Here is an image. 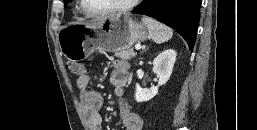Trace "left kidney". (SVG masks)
Returning a JSON list of instances; mask_svg holds the SVG:
<instances>
[{
    "label": "left kidney",
    "instance_id": "left-kidney-1",
    "mask_svg": "<svg viewBox=\"0 0 257 130\" xmlns=\"http://www.w3.org/2000/svg\"><path fill=\"white\" fill-rule=\"evenodd\" d=\"M176 55L175 50L167 49L154 59L153 72L159 79L158 84L146 89H142L139 84H136L135 100L137 102L149 101L157 95L159 86L164 85L172 74Z\"/></svg>",
    "mask_w": 257,
    "mask_h": 130
}]
</instances>
